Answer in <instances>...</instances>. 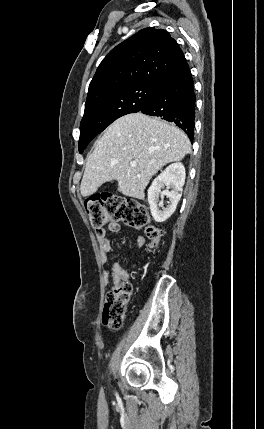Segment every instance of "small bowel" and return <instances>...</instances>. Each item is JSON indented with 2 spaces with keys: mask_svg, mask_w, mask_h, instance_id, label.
Returning <instances> with one entry per match:
<instances>
[{
  "mask_svg": "<svg viewBox=\"0 0 264 429\" xmlns=\"http://www.w3.org/2000/svg\"><path fill=\"white\" fill-rule=\"evenodd\" d=\"M120 228L121 226L117 221H111L108 224V229L111 232H118ZM96 236L100 246L102 260L103 262H107L112 252L111 242L107 238L105 230H103L101 233L96 232ZM136 245L137 247H143L145 245L144 237L138 236L136 239ZM126 278H128V275L119 269H115V273L112 275V280L115 284L120 282L121 279Z\"/></svg>",
  "mask_w": 264,
  "mask_h": 429,
  "instance_id": "obj_1",
  "label": "small bowel"
}]
</instances>
